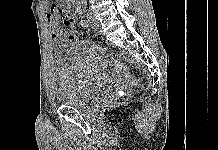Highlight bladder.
<instances>
[{
	"label": "bladder",
	"mask_w": 218,
	"mask_h": 150,
	"mask_svg": "<svg viewBox=\"0 0 218 150\" xmlns=\"http://www.w3.org/2000/svg\"><path fill=\"white\" fill-rule=\"evenodd\" d=\"M84 58L78 42H60L56 47V99L61 105L87 108L91 103L100 67L86 64Z\"/></svg>",
	"instance_id": "31cf9c89"
}]
</instances>
